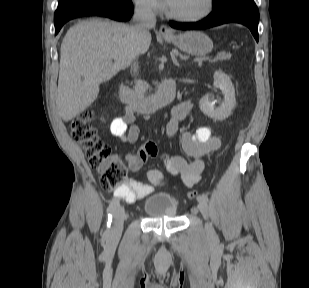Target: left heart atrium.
Here are the masks:
<instances>
[{
	"mask_svg": "<svg viewBox=\"0 0 309 288\" xmlns=\"http://www.w3.org/2000/svg\"><path fill=\"white\" fill-rule=\"evenodd\" d=\"M165 1H166L167 4H169V2H170L171 0H165Z\"/></svg>",
	"mask_w": 309,
	"mask_h": 288,
	"instance_id": "1",
	"label": "left heart atrium"
}]
</instances>
